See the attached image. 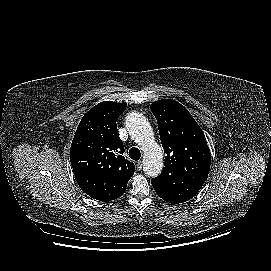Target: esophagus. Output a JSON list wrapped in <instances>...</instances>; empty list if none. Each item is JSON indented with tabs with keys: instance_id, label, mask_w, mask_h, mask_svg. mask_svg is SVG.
<instances>
[{
	"instance_id": "34e87169",
	"label": "esophagus",
	"mask_w": 271,
	"mask_h": 271,
	"mask_svg": "<svg viewBox=\"0 0 271 271\" xmlns=\"http://www.w3.org/2000/svg\"><path fill=\"white\" fill-rule=\"evenodd\" d=\"M136 166H137V170L140 171L142 169V161L141 160L138 161L137 164H136Z\"/></svg>"
}]
</instances>
